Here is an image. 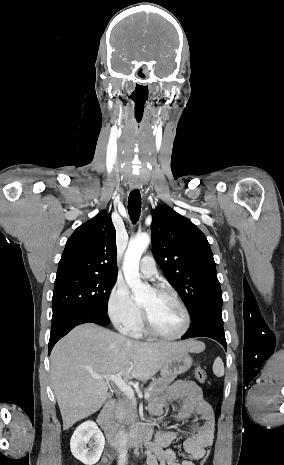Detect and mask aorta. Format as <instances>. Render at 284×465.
I'll return each instance as SVG.
<instances>
[{
    "label": "aorta",
    "instance_id": "1",
    "mask_svg": "<svg viewBox=\"0 0 284 465\" xmlns=\"http://www.w3.org/2000/svg\"><path fill=\"white\" fill-rule=\"evenodd\" d=\"M150 242V236L146 233L135 236L130 240L128 248L125 252L123 262V273L125 280L135 297L136 302H143L148 299L152 293V289L142 283L139 273V261L144 250ZM138 448L136 447V453Z\"/></svg>",
    "mask_w": 284,
    "mask_h": 465
}]
</instances>
